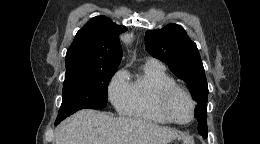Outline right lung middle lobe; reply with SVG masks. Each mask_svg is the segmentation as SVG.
Returning a JSON list of instances; mask_svg holds the SVG:
<instances>
[{"mask_svg": "<svg viewBox=\"0 0 260 144\" xmlns=\"http://www.w3.org/2000/svg\"><path fill=\"white\" fill-rule=\"evenodd\" d=\"M117 69L66 73L63 101L56 122L84 108H104L108 102L109 81Z\"/></svg>", "mask_w": 260, "mask_h": 144, "instance_id": "right-lung-middle-lobe-1", "label": "right lung middle lobe"}]
</instances>
